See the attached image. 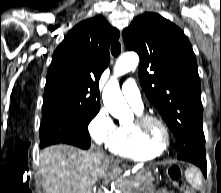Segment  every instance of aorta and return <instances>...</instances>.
<instances>
[{
	"instance_id": "aorta-1",
	"label": "aorta",
	"mask_w": 221,
	"mask_h": 193,
	"mask_svg": "<svg viewBox=\"0 0 221 193\" xmlns=\"http://www.w3.org/2000/svg\"><path fill=\"white\" fill-rule=\"evenodd\" d=\"M138 63L139 57L136 53L130 52L123 54L117 60L114 67V75L103 90L102 98L104 106L113 117L120 121L131 120L133 114L122 95L117 77L134 70L138 66Z\"/></svg>"
}]
</instances>
